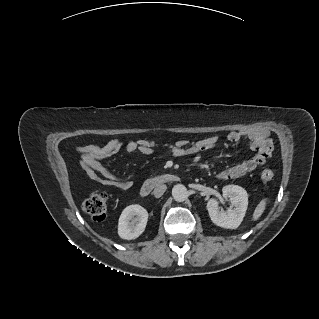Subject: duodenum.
I'll return each mask as SVG.
<instances>
[{
	"label": "duodenum",
	"instance_id": "410a0bca",
	"mask_svg": "<svg viewBox=\"0 0 319 319\" xmlns=\"http://www.w3.org/2000/svg\"><path fill=\"white\" fill-rule=\"evenodd\" d=\"M177 176L171 174H160L149 177L140 187L139 193L142 197L148 196L151 191L165 183L177 181Z\"/></svg>",
	"mask_w": 319,
	"mask_h": 319
}]
</instances>
